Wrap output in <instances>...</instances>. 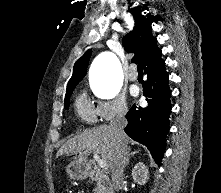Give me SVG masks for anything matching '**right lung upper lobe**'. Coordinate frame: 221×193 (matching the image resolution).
Wrapping results in <instances>:
<instances>
[{
	"mask_svg": "<svg viewBox=\"0 0 221 193\" xmlns=\"http://www.w3.org/2000/svg\"><path fill=\"white\" fill-rule=\"evenodd\" d=\"M157 39L151 33V22L141 15H135V27L123 37L122 44L128 53H134L132 61L138 60L148 71L163 62ZM91 50H88L74 64L73 75L67 87L77 85L86 75Z\"/></svg>",
	"mask_w": 221,
	"mask_h": 193,
	"instance_id": "1",
	"label": "right lung upper lobe"
}]
</instances>
